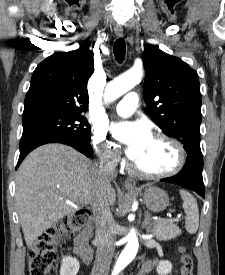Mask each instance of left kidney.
<instances>
[{
  "label": "left kidney",
  "instance_id": "5707ae66",
  "mask_svg": "<svg viewBox=\"0 0 225 275\" xmlns=\"http://www.w3.org/2000/svg\"><path fill=\"white\" fill-rule=\"evenodd\" d=\"M157 272L159 275H167L172 270V264L169 261H161L157 266Z\"/></svg>",
  "mask_w": 225,
  "mask_h": 275
}]
</instances>
